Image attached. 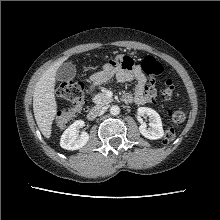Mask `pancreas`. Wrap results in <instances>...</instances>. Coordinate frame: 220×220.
I'll use <instances>...</instances> for the list:
<instances>
[{
    "label": "pancreas",
    "instance_id": "obj_1",
    "mask_svg": "<svg viewBox=\"0 0 220 220\" xmlns=\"http://www.w3.org/2000/svg\"><path fill=\"white\" fill-rule=\"evenodd\" d=\"M113 101L112 98H108L105 95V92L99 93L93 97V102L96 104L97 107L105 106Z\"/></svg>",
    "mask_w": 220,
    "mask_h": 220
}]
</instances>
